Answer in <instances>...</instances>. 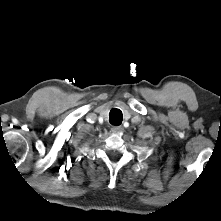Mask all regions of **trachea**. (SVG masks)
<instances>
[{
    "mask_svg": "<svg viewBox=\"0 0 221 221\" xmlns=\"http://www.w3.org/2000/svg\"><path fill=\"white\" fill-rule=\"evenodd\" d=\"M123 116H122V112L119 109L113 108L110 111L109 114V122L112 125H120L122 122Z\"/></svg>",
    "mask_w": 221,
    "mask_h": 221,
    "instance_id": "obj_1",
    "label": "trachea"
}]
</instances>
